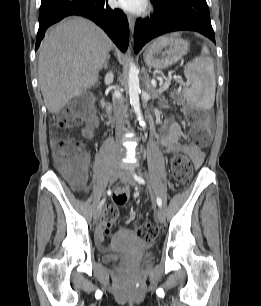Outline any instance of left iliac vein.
Masks as SVG:
<instances>
[{"label": "left iliac vein", "mask_w": 261, "mask_h": 306, "mask_svg": "<svg viewBox=\"0 0 261 306\" xmlns=\"http://www.w3.org/2000/svg\"><path fill=\"white\" fill-rule=\"evenodd\" d=\"M119 178L131 185V186H135L136 185V181L134 180L133 176H132V172L130 171H121L120 174H119ZM155 217H156V220L160 223H162L165 219V215H164V211L161 207H158L156 209V214H155Z\"/></svg>", "instance_id": "left-iliac-vein-1"}]
</instances>
